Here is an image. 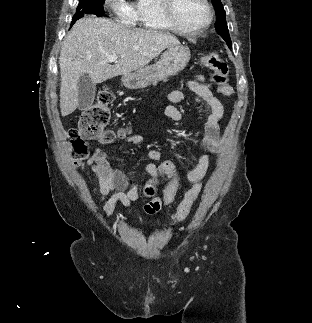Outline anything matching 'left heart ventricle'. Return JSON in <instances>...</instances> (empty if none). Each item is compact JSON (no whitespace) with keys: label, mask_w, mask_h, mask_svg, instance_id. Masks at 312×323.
Returning a JSON list of instances; mask_svg holds the SVG:
<instances>
[{"label":"left heart ventricle","mask_w":312,"mask_h":323,"mask_svg":"<svg viewBox=\"0 0 312 323\" xmlns=\"http://www.w3.org/2000/svg\"><path fill=\"white\" fill-rule=\"evenodd\" d=\"M171 14L176 18H185L186 22H195L196 18H206L209 7H203L201 0H171Z\"/></svg>","instance_id":"obj_1"}]
</instances>
